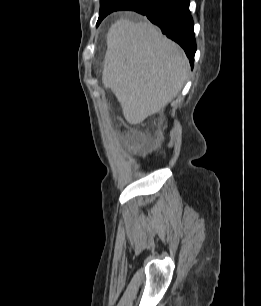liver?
I'll return each instance as SVG.
<instances>
[{"label":"liver","mask_w":261,"mask_h":306,"mask_svg":"<svg viewBox=\"0 0 261 306\" xmlns=\"http://www.w3.org/2000/svg\"><path fill=\"white\" fill-rule=\"evenodd\" d=\"M189 68L183 50L150 23L120 19L111 25L102 82L130 124L141 123L171 102Z\"/></svg>","instance_id":"obj_1"}]
</instances>
